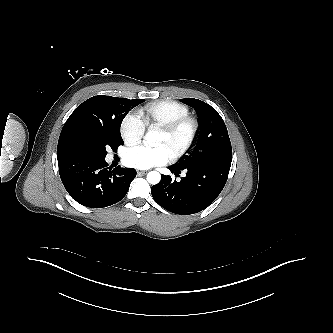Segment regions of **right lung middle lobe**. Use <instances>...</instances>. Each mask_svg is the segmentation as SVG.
<instances>
[{
    "instance_id": "obj_1",
    "label": "right lung middle lobe",
    "mask_w": 333,
    "mask_h": 333,
    "mask_svg": "<svg viewBox=\"0 0 333 333\" xmlns=\"http://www.w3.org/2000/svg\"><path fill=\"white\" fill-rule=\"evenodd\" d=\"M144 101L113 97L104 119H84L70 132V151L105 158L109 148L117 150L118 146L124 144L120 134L122 120L132 108Z\"/></svg>"
}]
</instances>
